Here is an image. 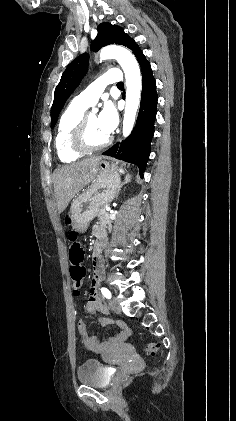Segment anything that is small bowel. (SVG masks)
Segmentation results:
<instances>
[{
    "mask_svg": "<svg viewBox=\"0 0 236 421\" xmlns=\"http://www.w3.org/2000/svg\"><path fill=\"white\" fill-rule=\"evenodd\" d=\"M100 228H103V227H101L99 225L94 226V228H93L94 234ZM95 307L102 308V304H101V302L99 300V297L97 295L96 287H95V285H93L90 289V298H89V301H88L87 308H88L89 311H91V310H95L96 309ZM120 327L122 328L123 333H127L128 328L124 324H120ZM83 328H84V324L80 323V329H83Z\"/></svg>",
    "mask_w": 236,
    "mask_h": 421,
    "instance_id": "1",
    "label": "small bowel"
}]
</instances>
